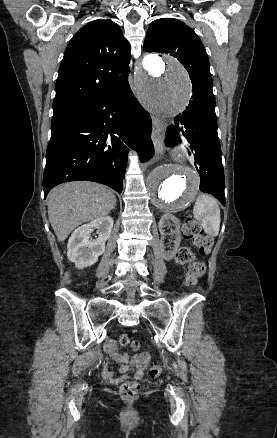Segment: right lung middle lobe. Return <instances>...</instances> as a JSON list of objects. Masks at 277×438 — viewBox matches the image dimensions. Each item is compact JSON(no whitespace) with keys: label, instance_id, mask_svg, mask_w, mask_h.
I'll return each mask as SVG.
<instances>
[{"label":"right lung middle lobe","instance_id":"obj_1","mask_svg":"<svg viewBox=\"0 0 277 438\" xmlns=\"http://www.w3.org/2000/svg\"><path fill=\"white\" fill-rule=\"evenodd\" d=\"M66 111H53V117L52 120L59 117L60 115H62L63 113H65Z\"/></svg>","mask_w":277,"mask_h":438}]
</instances>
